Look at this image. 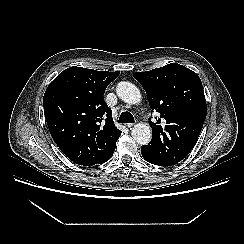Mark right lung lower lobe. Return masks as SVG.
<instances>
[{
	"label": "right lung lower lobe",
	"mask_w": 244,
	"mask_h": 244,
	"mask_svg": "<svg viewBox=\"0 0 244 244\" xmlns=\"http://www.w3.org/2000/svg\"><path fill=\"white\" fill-rule=\"evenodd\" d=\"M114 150H115V148H114ZM114 150L111 152V154H110L104 161H102V162H100V163H98V164L104 163V162H106L107 160H109V159L111 158V156L113 155Z\"/></svg>",
	"instance_id": "1"
}]
</instances>
